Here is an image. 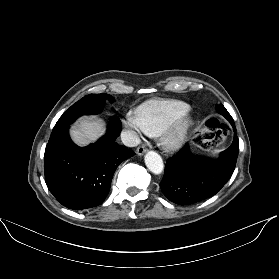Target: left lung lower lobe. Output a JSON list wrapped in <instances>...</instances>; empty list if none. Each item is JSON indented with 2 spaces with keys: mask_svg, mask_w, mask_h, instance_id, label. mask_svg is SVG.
Returning <instances> with one entry per match:
<instances>
[{
  "mask_svg": "<svg viewBox=\"0 0 279 279\" xmlns=\"http://www.w3.org/2000/svg\"><path fill=\"white\" fill-rule=\"evenodd\" d=\"M236 128L233 120H229ZM239 151L238 137L234 134L231 146L221 153L217 162L196 158L186 145L167 160L163 180V194L179 205L193 204L215 195L234 172Z\"/></svg>",
  "mask_w": 279,
  "mask_h": 279,
  "instance_id": "obj_1",
  "label": "left lung lower lobe"
}]
</instances>
